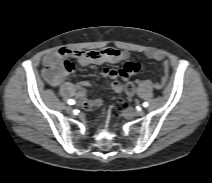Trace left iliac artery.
<instances>
[{"label": "left iliac artery", "instance_id": "obj_1", "mask_svg": "<svg viewBox=\"0 0 212 183\" xmlns=\"http://www.w3.org/2000/svg\"><path fill=\"white\" fill-rule=\"evenodd\" d=\"M148 105H149L148 102L143 103V107H148Z\"/></svg>", "mask_w": 212, "mask_h": 183}]
</instances>
